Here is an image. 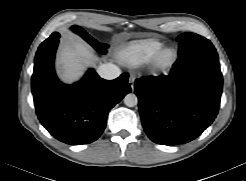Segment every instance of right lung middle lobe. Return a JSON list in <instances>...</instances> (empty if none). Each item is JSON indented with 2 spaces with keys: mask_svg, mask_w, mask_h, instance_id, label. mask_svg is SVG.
<instances>
[{
  "mask_svg": "<svg viewBox=\"0 0 246 181\" xmlns=\"http://www.w3.org/2000/svg\"><path fill=\"white\" fill-rule=\"evenodd\" d=\"M71 29L79 34L82 38H84L89 44H91L96 51H98L101 54H106L107 53V44H102L96 41L94 38H92L84 29H82L79 26H72ZM60 37L59 33L54 32L48 39H46L40 46H45L50 44L52 41L55 39H58Z\"/></svg>",
  "mask_w": 246,
  "mask_h": 181,
  "instance_id": "dd1d6c3e",
  "label": "right lung middle lobe"
}]
</instances>
